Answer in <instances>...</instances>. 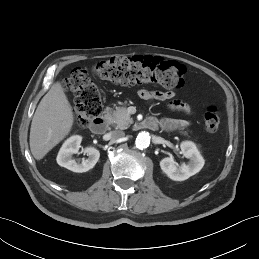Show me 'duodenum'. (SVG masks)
I'll use <instances>...</instances> for the list:
<instances>
[{
  "instance_id": "1",
  "label": "duodenum",
  "mask_w": 259,
  "mask_h": 259,
  "mask_svg": "<svg viewBox=\"0 0 259 259\" xmlns=\"http://www.w3.org/2000/svg\"><path fill=\"white\" fill-rule=\"evenodd\" d=\"M108 118L105 115H98L90 124L91 130L96 134H103L107 129ZM158 126L157 122L154 119H145L137 123L139 129H150L154 130Z\"/></svg>"
}]
</instances>
